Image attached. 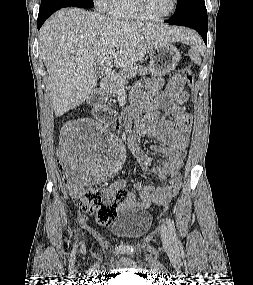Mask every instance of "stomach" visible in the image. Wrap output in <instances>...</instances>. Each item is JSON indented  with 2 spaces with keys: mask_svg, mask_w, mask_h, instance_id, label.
Here are the masks:
<instances>
[{
  "mask_svg": "<svg viewBox=\"0 0 253 285\" xmlns=\"http://www.w3.org/2000/svg\"><path fill=\"white\" fill-rule=\"evenodd\" d=\"M149 72L155 76L165 75L178 65L181 54L170 43L159 44L149 53Z\"/></svg>",
  "mask_w": 253,
  "mask_h": 285,
  "instance_id": "stomach-1",
  "label": "stomach"
}]
</instances>
